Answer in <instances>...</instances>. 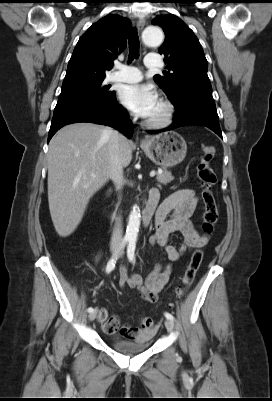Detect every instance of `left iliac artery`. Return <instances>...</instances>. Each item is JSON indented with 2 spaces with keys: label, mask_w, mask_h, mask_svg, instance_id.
Wrapping results in <instances>:
<instances>
[{
  "label": "left iliac artery",
  "mask_w": 272,
  "mask_h": 401,
  "mask_svg": "<svg viewBox=\"0 0 272 401\" xmlns=\"http://www.w3.org/2000/svg\"><path fill=\"white\" fill-rule=\"evenodd\" d=\"M135 248H136V240L130 239L127 247V257L131 262H135ZM164 315L167 319H170L172 321L174 320L172 314L165 312Z\"/></svg>",
  "instance_id": "44dca946"
}]
</instances>
